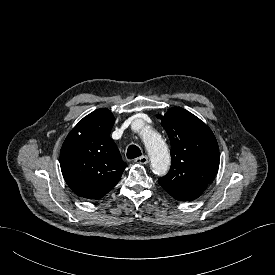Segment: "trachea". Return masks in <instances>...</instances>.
Segmentation results:
<instances>
[{"mask_svg":"<svg viewBox=\"0 0 275 275\" xmlns=\"http://www.w3.org/2000/svg\"><path fill=\"white\" fill-rule=\"evenodd\" d=\"M141 150L136 145H130L127 149V158L134 159L136 157L141 156Z\"/></svg>","mask_w":275,"mask_h":275,"instance_id":"obj_1","label":"trachea"}]
</instances>
